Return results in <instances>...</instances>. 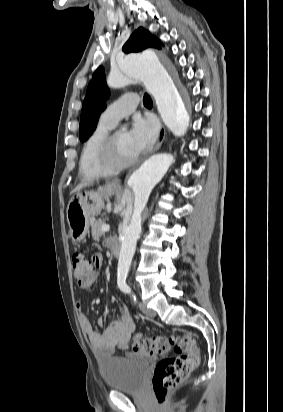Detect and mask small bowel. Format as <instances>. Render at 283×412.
<instances>
[{"label": "small bowel", "instance_id": "obj_1", "mask_svg": "<svg viewBox=\"0 0 283 412\" xmlns=\"http://www.w3.org/2000/svg\"><path fill=\"white\" fill-rule=\"evenodd\" d=\"M112 240L108 241L109 245L112 243ZM94 257L99 259V263L92 269L89 278L86 281L79 283L83 288L91 287L97 280V273L95 270L100 268L102 261L99 254H95ZM76 307L81 311L82 306L80 302H77ZM79 322L83 332L87 335L93 347L94 353L99 357L110 356L116 351L128 352V350L141 338L140 334L131 338V335L135 330V324L125 305H121L119 317L113 319L102 332L94 330L89 318L82 312L79 313ZM97 324L100 327H104V319L99 318ZM128 356L133 357L134 355L128 353Z\"/></svg>", "mask_w": 283, "mask_h": 412}]
</instances>
